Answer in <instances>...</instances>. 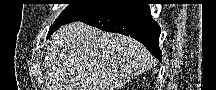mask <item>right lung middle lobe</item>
I'll use <instances>...</instances> for the list:
<instances>
[{"label":"right lung middle lobe","instance_id":"right-lung-middle-lobe-1","mask_svg":"<svg viewBox=\"0 0 216 90\" xmlns=\"http://www.w3.org/2000/svg\"><path fill=\"white\" fill-rule=\"evenodd\" d=\"M114 5L116 4H70L62 11L50 27L47 37L56 31L61 25L95 16L110 9Z\"/></svg>","mask_w":216,"mask_h":90}]
</instances>
